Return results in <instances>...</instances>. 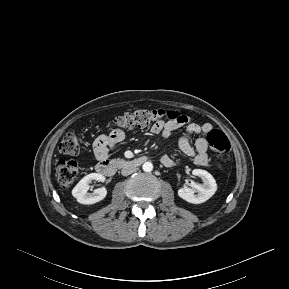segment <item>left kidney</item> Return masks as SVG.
Listing matches in <instances>:
<instances>
[{
  "mask_svg": "<svg viewBox=\"0 0 289 289\" xmlns=\"http://www.w3.org/2000/svg\"><path fill=\"white\" fill-rule=\"evenodd\" d=\"M192 174L203 179V184L191 182V188L184 187L178 190V195L183 200L192 204H201L211 198L216 190L217 184L213 176L202 169H194ZM197 192V194H194Z\"/></svg>",
  "mask_w": 289,
  "mask_h": 289,
  "instance_id": "1",
  "label": "left kidney"
}]
</instances>
